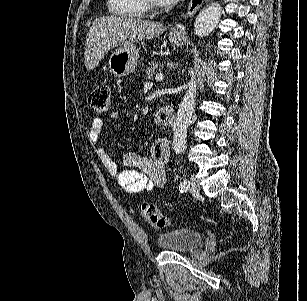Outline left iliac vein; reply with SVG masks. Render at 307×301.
Listing matches in <instances>:
<instances>
[{"label":"left iliac vein","instance_id":"1","mask_svg":"<svg viewBox=\"0 0 307 301\" xmlns=\"http://www.w3.org/2000/svg\"><path fill=\"white\" fill-rule=\"evenodd\" d=\"M191 185L189 186V191L192 192V194L196 195L200 193V186L197 184V181L194 177H191Z\"/></svg>","mask_w":307,"mask_h":301}]
</instances>
